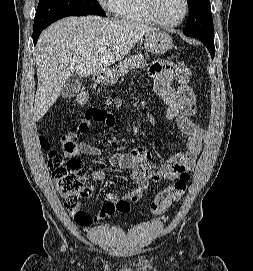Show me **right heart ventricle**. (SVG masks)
<instances>
[{"label":"right heart ventricle","mask_w":253,"mask_h":271,"mask_svg":"<svg viewBox=\"0 0 253 271\" xmlns=\"http://www.w3.org/2000/svg\"><path fill=\"white\" fill-rule=\"evenodd\" d=\"M114 13L127 21L152 23L144 10L142 0H120Z\"/></svg>","instance_id":"right-heart-ventricle-1"}]
</instances>
